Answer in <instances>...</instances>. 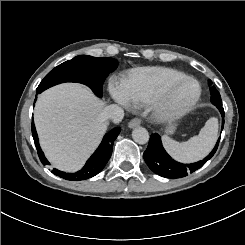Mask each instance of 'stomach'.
I'll list each match as a JSON object with an SVG mask.
<instances>
[{
    "instance_id": "stomach-1",
    "label": "stomach",
    "mask_w": 245,
    "mask_h": 245,
    "mask_svg": "<svg viewBox=\"0 0 245 245\" xmlns=\"http://www.w3.org/2000/svg\"><path fill=\"white\" fill-rule=\"evenodd\" d=\"M181 124V118L179 119H167L162 131L165 135L173 136Z\"/></svg>"
}]
</instances>
